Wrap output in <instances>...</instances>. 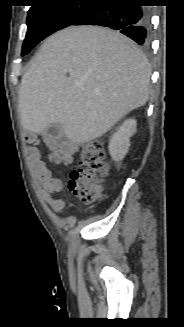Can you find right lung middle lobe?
I'll list each match as a JSON object with an SVG mask.
<instances>
[{
  "label": "right lung middle lobe",
  "mask_w": 184,
  "mask_h": 327,
  "mask_svg": "<svg viewBox=\"0 0 184 327\" xmlns=\"http://www.w3.org/2000/svg\"><path fill=\"white\" fill-rule=\"evenodd\" d=\"M77 1H85L78 4ZM94 0H51L30 8L27 15V34L22 56L52 33L72 25L92 5Z\"/></svg>",
  "instance_id": "1"
}]
</instances>
